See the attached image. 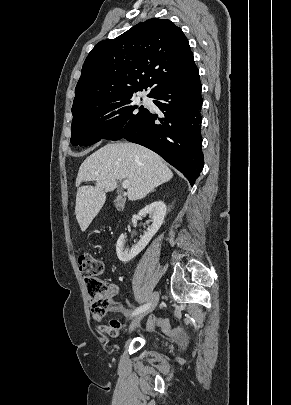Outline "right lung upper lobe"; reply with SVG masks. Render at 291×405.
<instances>
[{
    "label": "right lung upper lobe",
    "mask_w": 291,
    "mask_h": 405,
    "mask_svg": "<svg viewBox=\"0 0 291 405\" xmlns=\"http://www.w3.org/2000/svg\"><path fill=\"white\" fill-rule=\"evenodd\" d=\"M182 30L167 19L141 22L91 50L75 88L72 113L89 105L150 90L198 74Z\"/></svg>",
    "instance_id": "cb5924a9"
}]
</instances>
